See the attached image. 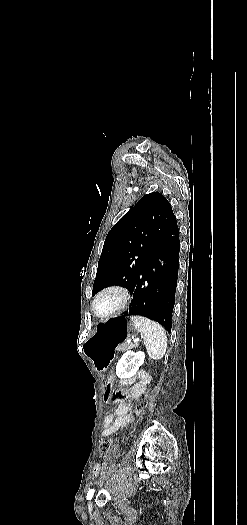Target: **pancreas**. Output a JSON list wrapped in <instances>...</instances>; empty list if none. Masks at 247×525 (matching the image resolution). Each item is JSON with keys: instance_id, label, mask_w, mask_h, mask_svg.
<instances>
[{"instance_id": "1", "label": "pancreas", "mask_w": 247, "mask_h": 525, "mask_svg": "<svg viewBox=\"0 0 247 525\" xmlns=\"http://www.w3.org/2000/svg\"><path fill=\"white\" fill-rule=\"evenodd\" d=\"M133 347H136V345H131V343H122V345L120 347H118V351L120 353H125L126 351H128V349H133Z\"/></svg>"}]
</instances>
